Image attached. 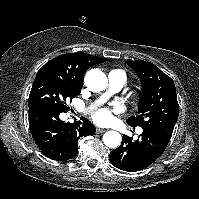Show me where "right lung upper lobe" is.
<instances>
[{
  "label": "right lung upper lobe",
  "instance_id": "obj_1",
  "mask_svg": "<svg viewBox=\"0 0 199 199\" xmlns=\"http://www.w3.org/2000/svg\"><path fill=\"white\" fill-rule=\"evenodd\" d=\"M107 59L78 52L57 56L47 62L37 75H53L65 78L78 85H83V76L93 65L103 63Z\"/></svg>",
  "mask_w": 199,
  "mask_h": 199
}]
</instances>
